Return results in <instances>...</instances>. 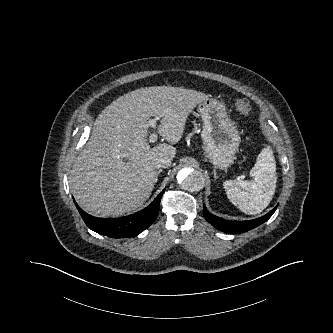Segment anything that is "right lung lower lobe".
Listing matches in <instances>:
<instances>
[{"label":"right lung lower lobe","mask_w":333,"mask_h":333,"mask_svg":"<svg viewBox=\"0 0 333 333\" xmlns=\"http://www.w3.org/2000/svg\"><path fill=\"white\" fill-rule=\"evenodd\" d=\"M164 190L145 209L120 218H97L84 212L74 203L86 225L93 231L112 238L132 237L147 229L159 213V205Z\"/></svg>","instance_id":"98d812e1"}]
</instances>
